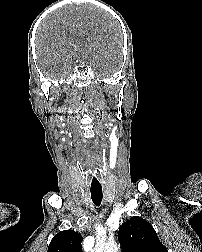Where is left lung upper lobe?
Here are the masks:
<instances>
[{
  "mask_svg": "<svg viewBox=\"0 0 202 252\" xmlns=\"http://www.w3.org/2000/svg\"><path fill=\"white\" fill-rule=\"evenodd\" d=\"M122 252H168L146 220L134 216L118 232Z\"/></svg>",
  "mask_w": 202,
  "mask_h": 252,
  "instance_id": "5c2ea615",
  "label": "left lung upper lobe"
}]
</instances>
